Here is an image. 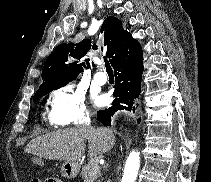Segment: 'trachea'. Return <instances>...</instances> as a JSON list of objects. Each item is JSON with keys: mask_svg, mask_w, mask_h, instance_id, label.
Returning <instances> with one entry per match:
<instances>
[{"mask_svg": "<svg viewBox=\"0 0 211 182\" xmlns=\"http://www.w3.org/2000/svg\"><path fill=\"white\" fill-rule=\"evenodd\" d=\"M104 62H105L106 72L108 73V75H113V70H112L108 60L105 59Z\"/></svg>", "mask_w": 211, "mask_h": 182, "instance_id": "3493384b", "label": "trachea"}]
</instances>
